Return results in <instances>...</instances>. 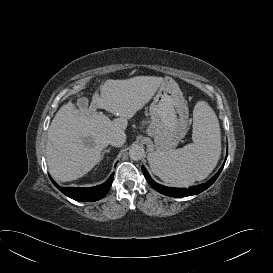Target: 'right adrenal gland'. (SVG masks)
Wrapping results in <instances>:
<instances>
[{"label": "right adrenal gland", "instance_id": "obj_1", "mask_svg": "<svg viewBox=\"0 0 273 273\" xmlns=\"http://www.w3.org/2000/svg\"><path fill=\"white\" fill-rule=\"evenodd\" d=\"M108 152H110V148H109V149H106V150H104V151L102 152V155H101V159H100V160H102V159L104 158L105 153H108Z\"/></svg>", "mask_w": 273, "mask_h": 273}]
</instances>
